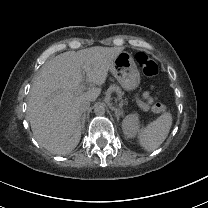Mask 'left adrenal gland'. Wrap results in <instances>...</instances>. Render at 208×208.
<instances>
[{"mask_svg":"<svg viewBox=\"0 0 208 208\" xmlns=\"http://www.w3.org/2000/svg\"><path fill=\"white\" fill-rule=\"evenodd\" d=\"M111 110L115 112V117L117 118V121L119 120L120 116H123V110L121 107L119 108L111 107Z\"/></svg>","mask_w":208,"mask_h":208,"instance_id":"1","label":"left adrenal gland"}]
</instances>
